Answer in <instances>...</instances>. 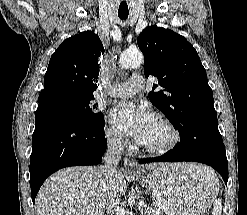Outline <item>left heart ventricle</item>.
<instances>
[{"label":"left heart ventricle","mask_w":247,"mask_h":215,"mask_svg":"<svg viewBox=\"0 0 247 215\" xmlns=\"http://www.w3.org/2000/svg\"><path fill=\"white\" fill-rule=\"evenodd\" d=\"M168 138L169 134L167 130L157 122L142 144L157 147L166 143Z\"/></svg>","instance_id":"1"}]
</instances>
